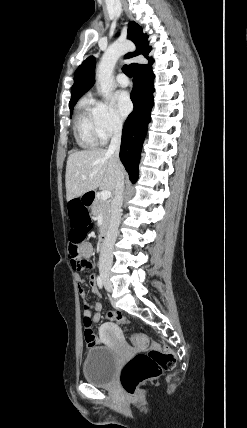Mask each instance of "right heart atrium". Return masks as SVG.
<instances>
[{
  "instance_id": "1",
  "label": "right heart atrium",
  "mask_w": 247,
  "mask_h": 428,
  "mask_svg": "<svg viewBox=\"0 0 247 428\" xmlns=\"http://www.w3.org/2000/svg\"><path fill=\"white\" fill-rule=\"evenodd\" d=\"M96 133L102 142L121 132L123 124L108 101H96L92 105Z\"/></svg>"
}]
</instances>
